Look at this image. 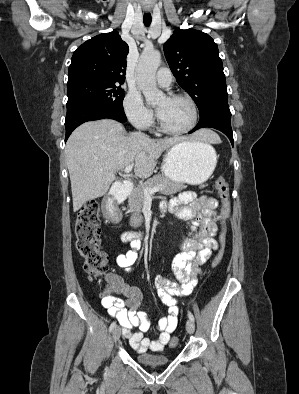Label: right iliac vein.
Masks as SVG:
<instances>
[{"mask_svg":"<svg viewBox=\"0 0 299 394\" xmlns=\"http://www.w3.org/2000/svg\"><path fill=\"white\" fill-rule=\"evenodd\" d=\"M120 336H121V328L119 326H117L113 330V334H112L113 340L115 342L118 341Z\"/></svg>","mask_w":299,"mask_h":394,"instance_id":"1","label":"right iliac vein"}]
</instances>
